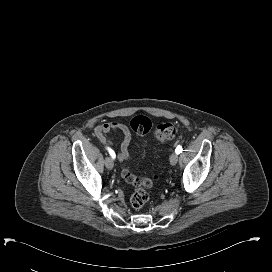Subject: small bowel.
Wrapping results in <instances>:
<instances>
[{
  "label": "small bowel",
  "mask_w": 272,
  "mask_h": 272,
  "mask_svg": "<svg viewBox=\"0 0 272 272\" xmlns=\"http://www.w3.org/2000/svg\"><path fill=\"white\" fill-rule=\"evenodd\" d=\"M110 132H120L123 135V140L120 145V150L118 151V159L120 161L129 158V145L131 141V132L128 127L121 122L113 121L98 125L95 128V135L97 139L104 145L110 146L113 141L109 138L108 134Z\"/></svg>",
  "instance_id": "c3829d8e"
}]
</instances>
